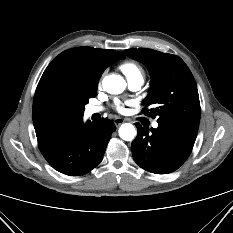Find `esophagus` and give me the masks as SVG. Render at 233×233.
I'll return each instance as SVG.
<instances>
[{
    "mask_svg": "<svg viewBox=\"0 0 233 233\" xmlns=\"http://www.w3.org/2000/svg\"><path fill=\"white\" fill-rule=\"evenodd\" d=\"M123 122H124V120L122 118L117 117V118L114 119V124L117 127L120 126Z\"/></svg>",
    "mask_w": 233,
    "mask_h": 233,
    "instance_id": "34e87169",
    "label": "esophagus"
}]
</instances>
